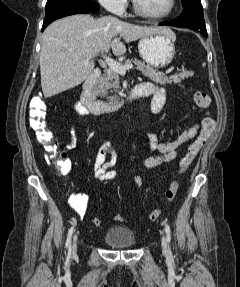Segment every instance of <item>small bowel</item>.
I'll return each instance as SVG.
<instances>
[{
  "label": "small bowel",
  "instance_id": "obj_1",
  "mask_svg": "<svg viewBox=\"0 0 240 287\" xmlns=\"http://www.w3.org/2000/svg\"><path fill=\"white\" fill-rule=\"evenodd\" d=\"M144 96H151V109L155 114H159L164 108L166 102V92L163 88H159L151 82H144L138 85ZM75 110L80 115H87L88 110L83 103L77 101L74 104ZM198 125H193L184 129L174 140L167 142H159L157 137L149 135L147 137V150L151 155H146L141 164L145 170H152L159 167L164 163H169L177 159L178 149L185 143L194 138L197 134ZM71 141L65 146L67 151L76 147L77 133L74 128L71 131ZM64 157L65 154H62ZM46 159L49 156L46 155ZM116 163V153L111 144H103L94 160L93 173L94 177L98 180H115L118 177V172L113 169ZM133 183L136 186L143 184V176L137 175L133 178ZM89 197L86 194H77L70 198V205L79 216H83L87 210Z\"/></svg>",
  "mask_w": 240,
  "mask_h": 287
}]
</instances>
